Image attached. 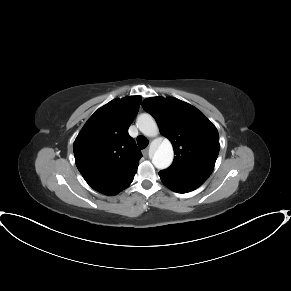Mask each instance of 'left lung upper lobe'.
I'll use <instances>...</instances> for the list:
<instances>
[{"mask_svg":"<svg viewBox=\"0 0 291 291\" xmlns=\"http://www.w3.org/2000/svg\"><path fill=\"white\" fill-rule=\"evenodd\" d=\"M142 106L155 118L161 134L171 141L176 155L172 165L160 173L204 183L220 149L216 127L197 108L173 97L148 98Z\"/></svg>","mask_w":291,"mask_h":291,"instance_id":"obj_1","label":"left lung upper lobe"}]
</instances>
